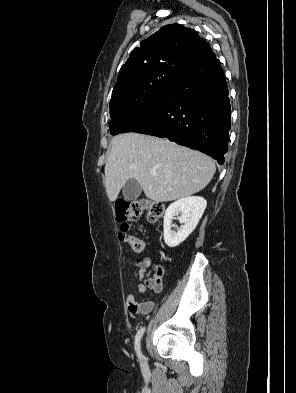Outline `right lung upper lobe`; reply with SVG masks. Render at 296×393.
<instances>
[{"instance_id":"cb5924a9","label":"right lung upper lobe","mask_w":296,"mask_h":393,"mask_svg":"<svg viewBox=\"0 0 296 393\" xmlns=\"http://www.w3.org/2000/svg\"><path fill=\"white\" fill-rule=\"evenodd\" d=\"M211 50L193 29L170 24L143 40L122 65L110 104L139 95L154 79H176Z\"/></svg>"}]
</instances>
